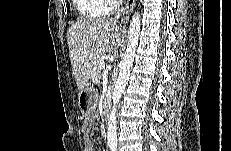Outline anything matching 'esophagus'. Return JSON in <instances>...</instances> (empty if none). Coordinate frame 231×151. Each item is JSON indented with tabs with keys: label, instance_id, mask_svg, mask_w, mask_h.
<instances>
[{
	"label": "esophagus",
	"instance_id": "34e87169",
	"mask_svg": "<svg viewBox=\"0 0 231 151\" xmlns=\"http://www.w3.org/2000/svg\"><path fill=\"white\" fill-rule=\"evenodd\" d=\"M134 6H135V0H128L126 10L121 19V23H126L129 20L130 13L132 12Z\"/></svg>",
	"mask_w": 231,
	"mask_h": 151
}]
</instances>
